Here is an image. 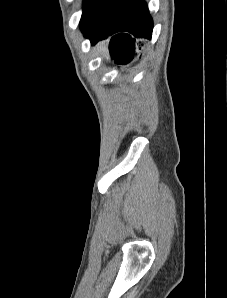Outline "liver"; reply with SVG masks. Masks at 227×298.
Instances as JSON below:
<instances>
[{
    "label": "liver",
    "instance_id": "6515ba94",
    "mask_svg": "<svg viewBox=\"0 0 227 298\" xmlns=\"http://www.w3.org/2000/svg\"><path fill=\"white\" fill-rule=\"evenodd\" d=\"M98 51H100L107 59H109L108 56V50L107 47L105 46V42H101L97 45Z\"/></svg>",
    "mask_w": 227,
    "mask_h": 298
}]
</instances>
